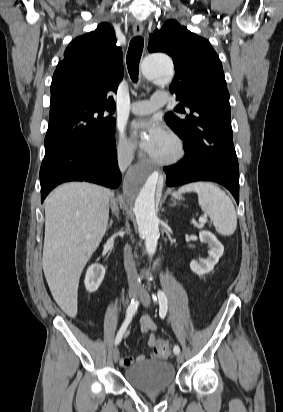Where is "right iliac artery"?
<instances>
[{
	"label": "right iliac artery",
	"instance_id": "1",
	"mask_svg": "<svg viewBox=\"0 0 283 412\" xmlns=\"http://www.w3.org/2000/svg\"><path fill=\"white\" fill-rule=\"evenodd\" d=\"M139 306V301L137 299H132L130 305L127 308L126 311V319L124 321V323L122 324L120 330L117 333V336L115 338V345H118L123 337L124 331L126 330V328L128 327V324L131 322L132 317L134 316V314L136 313L137 309Z\"/></svg>",
	"mask_w": 283,
	"mask_h": 412
}]
</instances>
